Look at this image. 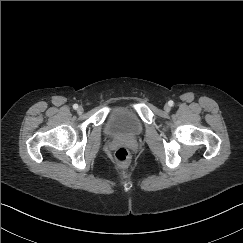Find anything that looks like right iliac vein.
Instances as JSON below:
<instances>
[{
    "mask_svg": "<svg viewBox=\"0 0 243 243\" xmlns=\"http://www.w3.org/2000/svg\"><path fill=\"white\" fill-rule=\"evenodd\" d=\"M77 112H78V113H82V112H83V107H81V106L78 107Z\"/></svg>",
    "mask_w": 243,
    "mask_h": 243,
    "instance_id": "obj_1",
    "label": "right iliac vein"
}]
</instances>
